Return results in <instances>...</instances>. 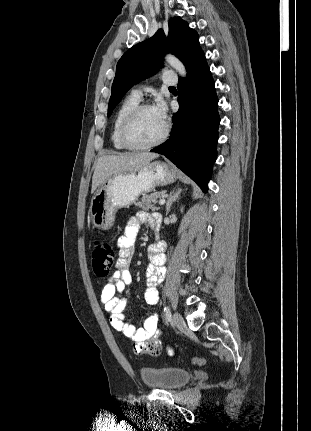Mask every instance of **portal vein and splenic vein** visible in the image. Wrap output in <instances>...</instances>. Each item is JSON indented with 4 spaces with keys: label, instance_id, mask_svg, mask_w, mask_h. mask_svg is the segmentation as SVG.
<instances>
[{
    "label": "portal vein and splenic vein",
    "instance_id": "18ae733b",
    "mask_svg": "<svg viewBox=\"0 0 311 431\" xmlns=\"http://www.w3.org/2000/svg\"><path fill=\"white\" fill-rule=\"evenodd\" d=\"M158 204L159 206H163V204H166V200H159Z\"/></svg>",
    "mask_w": 311,
    "mask_h": 431
}]
</instances>
